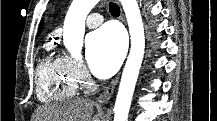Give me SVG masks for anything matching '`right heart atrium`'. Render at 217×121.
Here are the masks:
<instances>
[{"mask_svg":"<svg viewBox=\"0 0 217 121\" xmlns=\"http://www.w3.org/2000/svg\"><path fill=\"white\" fill-rule=\"evenodd\" d=\"M66 60L70 64L76 79L81 83H87L89 81V76L84 65L81 62L74 61L70 58H67Z\"/></svg>","mask_w":217,"mask_h":121,"instance_id":"d8ad5b80","label":"right heart atrium"}]
</instances>
